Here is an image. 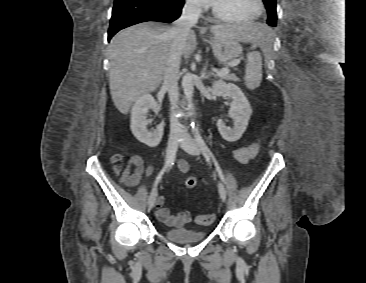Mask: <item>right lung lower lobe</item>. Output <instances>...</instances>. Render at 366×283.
<instances>
[{
	"instance_id": "right-lung-lower-lobe-1",
	"label": "right lung lower lobe",
	"mask_w": 366,
	"mask_h": 283,
	"mask_svg": "<svg viewBox=\"0 0 366 283\" xmlns=\"http://www.w3.org/2000/svg\"><path fill=\"white\" fill-rule=\"evenodd\" d=\"M184 0H115L108 41L119 30L146 21L170 23L180 17Z\"/></svg>"
}]
</instances>
